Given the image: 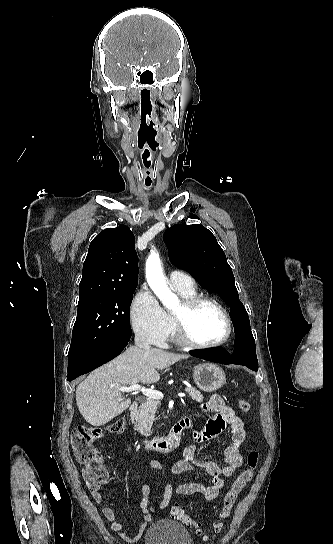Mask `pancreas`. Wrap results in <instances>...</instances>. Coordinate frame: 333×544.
Segmentation results:
<instances>
[{"mask_svg": "<svg viewBox=\"0 0 333 544\" xmlns=\"http://www.w3.org/2000/svg\"><path fill=\"white\" fill-rule=\"evenodd\" d=\"M185 391L189 394L192 400L202 402L204 397L200 391L193 387H186ZM158 400L154 398H146L139 406L136 414L135 429L142 435L149 436L152 431L151 427L155 420V413L158 407Z\"/></svg>", "mask_w": 333, "mask_h": 544, "instance_id": "1", "label": "pancreas"}]
</instances>
